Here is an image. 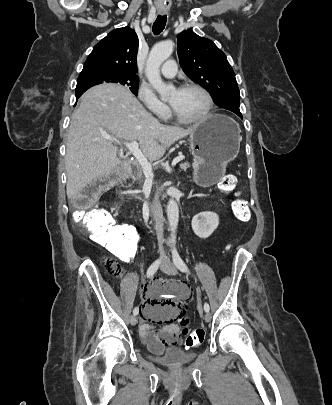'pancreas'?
I'll use <instances>...</instances> for the list:
<instances>
[{
  "label": "pancreas",
  "instance_id": "obj_1",
  "mask_svg": "<svg viewBox=\"0 0 332 405\" xmlns=\"http://www.w3.org/2000/svg\"><path fill=\"white\" fill-rule=\"evenodd\" d=\"M180 167H181V168H182V167L189 168V167H190V164H189V163H183V164L180 165Z\"/></svg>",
  "mask_w": 332,
  "mask_h": 405
}]
</instances>
